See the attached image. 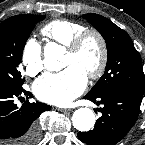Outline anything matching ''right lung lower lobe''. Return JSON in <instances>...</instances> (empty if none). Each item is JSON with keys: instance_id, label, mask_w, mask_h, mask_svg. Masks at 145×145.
<instances>
[{"instance_id": "1", "label": "right lung lower lobe", "mask_w": 145, "mask_h": 145, "mask_svg": "<svg viewBox=\"0 0 145 145\" xmlns=\"http://www.w3.org/2000/svg\"><path fill=\"white\" fill-rule=\"evenodd\" d=\"M30 92L0 85V145H36L40 137L38 118L49 105L26 101L21 108L14 99Z\"/></svg>"}]
</instances>
